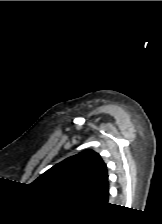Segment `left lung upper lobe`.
I'll return each mask as SVG.
<instances>
[{"label": "left lung upper lobe", "instance_id": "left-lung-upper-lobe-1", "mask_svg": "<svg viewBox=\"0 0 162 224\" xmlns=\"http://www.w3.org/2000/svg\"><path fill=\"white\" fill-rule=\"evenodd\" d=\"M107 180V167L100 155L86 150L54 165L32 185L58 196L87 199Z\"/></svg>", "mask_w": 162, "mask_h": 224}]
</instances>
